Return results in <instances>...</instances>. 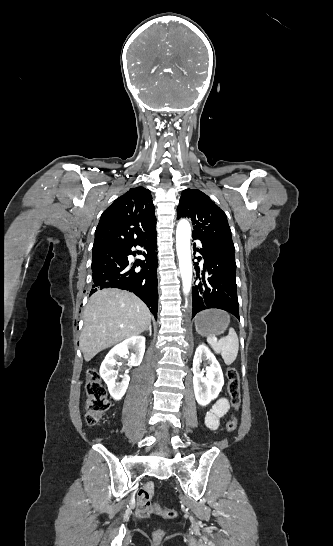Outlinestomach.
<instances>
[{"instance_id": "1", "label": "stomach", "mask_w": 333, "mask_h": 546, "mask_svg": "<svg viewBox=\"0 0 333 546\" xmlns=\"http://www.w3.org/2000/svg\"><path fill=\"white\" fill-rule=\"evenodd\" d=\"M230 318L220 310L210 309L199 313L195 319L198 334L203 337H215L225 332Z\"/></svg>"}]
</instances>
